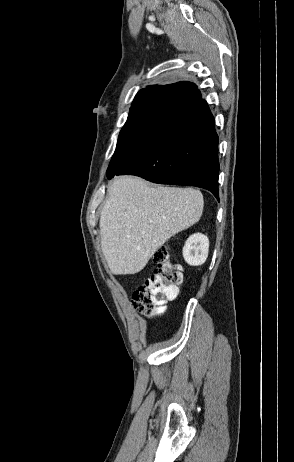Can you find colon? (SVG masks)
<instances>
[{"instance_id":"colon-1","label":"colon","mask_w":294,"mask_h":462,"mask_svg":"<svg viewBox=\"0 0 294 462\" xmlns=\"http://www.w3.org/2000/svg\"><path fill=\"white\" fill-rule=\"evenodd\" d=\"M153 259L156 264L153 274L132 296L135 310L147 318L164 313L166 302L177 297L183 281L182 268L173 262L168 249H158Z\"/></svg>"}]
</instances>
